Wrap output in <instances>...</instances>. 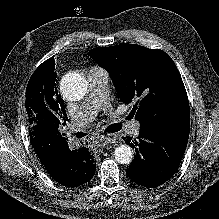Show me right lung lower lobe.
<instances>
[{
  "instance_id": "right-lung-lower-lobe-1",
  "label": "right lung lower lobe",
  "mask_w": 219,
  "mask_h": 219,
  "mask_svg": "<svg viewBox=\"0 0 219 219\" xmlns=\"http://www.w3.org/2000/svg\"><path fill=\"white\" fill-rule=\"evenodd\" d=\"M29 135L39 160L59 184L76 187L94 175L96 163L88 148L70 150L67 138L49 129L35 130Z\"/></svg>"
}]
</instances>
